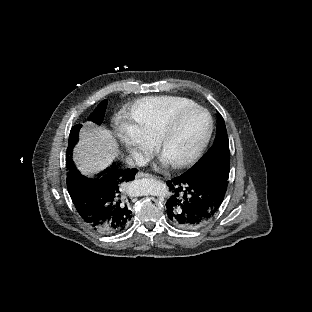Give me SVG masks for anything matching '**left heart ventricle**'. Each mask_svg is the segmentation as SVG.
Returning <instances> with one entry per match:
<instances>
[{"mask_svg":"<svg viewBox=\"0 0 312 312\" xmlns=\"http://www.w3.org/2000/svg\"><path fill=\"white\" fill-rule=\"evenodd\" d=\"M207 119L199 111H192L183 116L164 144L166 155L172 159L183 157L190 148L201 146L206 137Z\"/></svg>","mask_w":312,"mask_h":312,"instance_id":"left-heart-ventricle-1","label":"left heart ventricle"}]
</instances>
